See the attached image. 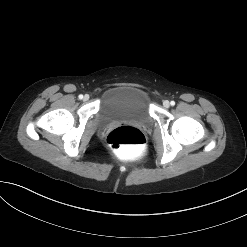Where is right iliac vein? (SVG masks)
Listing matches in <instances>:
<instances>
[{
	"label": "right iliac vein",
	"mask_w": 247,
	"mask_h": 247,
	"mask_svg": "<svg viewBox=\"0 0 247 247\" xmlns=\"http://www.w3.org/2000/svg\"><path fill=\"white\" fill-rule=\"evenodd\" d=\"M83 100H84V101H88V100H89V95L86 94V95L83 97Z\"/></svg>",
	"instance_id": "63e3f726"
}]
</instances>
